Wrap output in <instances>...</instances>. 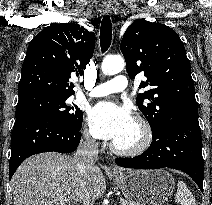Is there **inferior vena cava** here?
Instances as JSON below:
<instances>
[{"label":"inferior vena cava","mask_w":212,"mask_h":205,"mask_svg":"<svg viewBox=\"0 0 212 205\" xmlns=\"http://www.w3.org/2000/svg\"><path fill=\"white\" fill-rule=\"evenodd\" d=\"M98 157V143L89 135L84 136L81 140L74 160L79 170L80 181L82 186L86 184L85 176L92 170ZM92 205V204H91Z\"/></svg>","instance_id":"1"}]
</instances>
